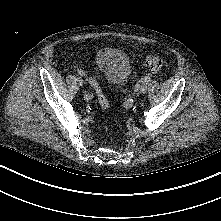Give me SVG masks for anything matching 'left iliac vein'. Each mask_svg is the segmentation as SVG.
Returning a JSON list of instances; mask_svg holds the SVG:
<instances>
[{
  "instance_id": "1",
  "label": "left iliac vein",
  "mask_w": 221,
  "mask_h": 221,
  "mask_svg": "<svg viewBox=\"0 0 221 221\" xmlns=\"http://www.w3.org/2000/svg\"><path fill=\"white\" fill-rule=\"evenodd\" d=\"M147 91V85L143 84L139 87V93L144 94Z\"/></svg>"
}]
</instances>
